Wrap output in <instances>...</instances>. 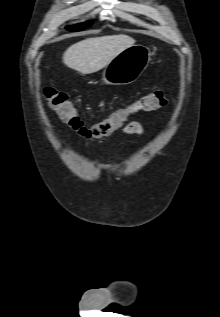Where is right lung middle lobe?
Instances as JSON below:
<instances>
[{
    "label": "right lung middle lobe",
    "mask_w": 220,
    "mask_h": 317,
    "mask_svg": "<svg viewBox=\"0 0 220 317\" xmlns=\"http://www.w3.org/2000/svg\"><path fill=\"white\" fill-rule=\"evenodd\" d=\"M91 24H92V21H87V22L80 23L77 25L68 26L67 29L69 31H72V32L81 31V30L88 28Z\"/></svg>",
    "instance_id": "obj_1"
}]
</instances>
